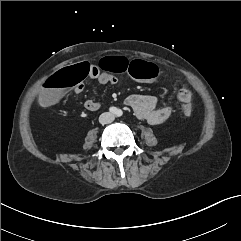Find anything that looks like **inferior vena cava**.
I'll return each mask as SVG.
<instances>
[{
	"label": "inferior vena cava",
	"instance_id": "obj_1",
	"mask_svg": "<svg viewBox=\"0 0 241 241\" xmlns=\"http://www.w3.org/2000/svg\"><path fill=\"white\" fill-rule=\"evenodd\" d=\"M113 120H114V115L110 112H104L99 117V122L101 124H108L113 122Z\"/></svg>",
	"mask_w": 241,
	"mask_h": 241
}]
</instances>
